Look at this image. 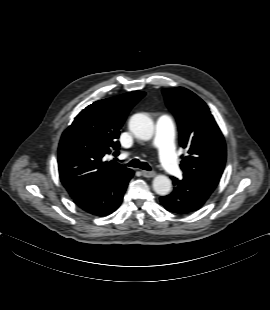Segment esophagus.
Wrapping results in <instances>:
<instances>
[{
  "label": "esophagus",
  "instance_id": "1",
  "mask_svg": "<svg viewBox=\"0 0 270 310\" xmlns=\"http://www.w3.org/2000/svg\"><path fill=\"white\" fill-rule=\"evenodd\" d=\"M142 175L146 178H150V177H153L155 176V172L154 171H145V170H142L141 171Z\"/></svg>",
  "mask_w": 270,
  "mask_h": 310
}]
</instances>
